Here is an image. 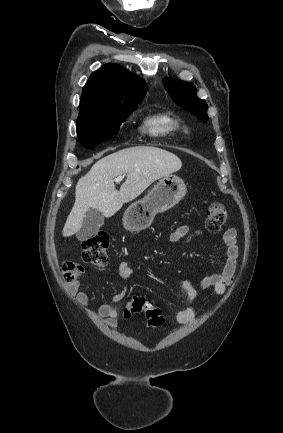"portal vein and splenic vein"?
Segmentation results:
<instances>
[{
  "instance_id": "obj_1",
  "label": "portal vein and splenic vein",
  "mask_w": 283,
  "mask_h": 433,
  "mask_svg": "<svg viewBox=\"0 0 283 433\" xmlns=\"http://www.w3.org/2000/svg\"><path fill=\"white\" fill-rule=\"evenodd\" d=\"M125 174H122V176H116V178H114L115 182H121L122 178H124Z\"/></svg>"
}]
</instances>
